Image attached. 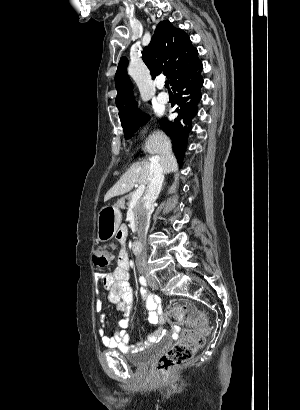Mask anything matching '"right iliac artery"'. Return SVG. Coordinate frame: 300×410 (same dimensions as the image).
Returning a JSON list of instances; mask_svg holds the SVG:
<instances>
[{
	"mask_svg": "<svg viewBox=\"0 0 300 410\" xmlns=\"http://www.w3.org/2000/svg\"><path fill=\"white\" fill-rule=\"evenodd\" d=\"M139 281L143 286H147V280L144 276H140Z\"/></svg>",
	"mask_w": 300,
	"mask_h": 410,
	"instance_id": "1",
	"label": "right iliac artery"
}]
</instances>
